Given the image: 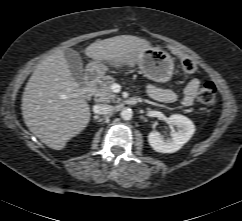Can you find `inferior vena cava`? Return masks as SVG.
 I'll return each mask as SVG.
<instances>
[{
    "label": "inferior vena cava",
    "mask_w": 242,
    "mask_h": 221,
    "mask_svg": "<svg viewBox=\"0 0 242 221\" xmlns=\"http://www.w3.org/2000/svg\"><path fill=\"white\" fill-rule=\"evenodd\" d=\"M114 110L115 108L108 104H98L94 107V112L102 115L111 114Z\"/></svg>",
    "instance_id": "obj_1"
}]
</instances>
